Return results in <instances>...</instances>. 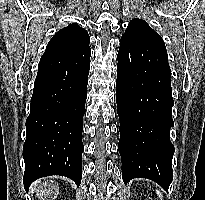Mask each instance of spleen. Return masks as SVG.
Returning <instances> with one entry per match:
<instances>
[{
  "mask_svg": "<svg viewBox=\"0 0 205 200\" xmlns=\"http://www.w3.org/2000/svg\"><path fill=\"white\" fill-rule=\"evenodd\" d=\"M156 194L158 195L159 198H161L160 200H162L163 195H162L161 191L156 190Z\"/></svg>",
  "mask_w": 205,
  "mask_h": 200,
  "instance_id": "spleen-1",
  "label": "spleen"
}]
</instances>
